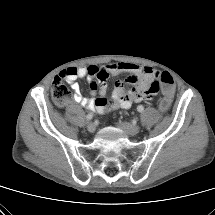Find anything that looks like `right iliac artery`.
Instances as JSON below:
<instances>
[{"label": "right iliac artery", "instance_id": "obj_1", "mask_svg": "<svg viewBox=\"0 0 215 215\" xmlns=\"http://www.w3.org/2000/svg\"><path fill=\"white\" fill-rule=\"evenodd\" d=\"M92 118H93V113H89V114L86 116L87 121H90Z\"/></svg>", "mask_w": 215, "mask_h": 215}]
</instances>
